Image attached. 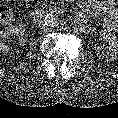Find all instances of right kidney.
<instances>
[{
  "instance_id": "right-kidney-1",
  "label": "right kidney",
  "mask_w": 118,
  "mask_h": 118,
  "mask_svg": "<svg viewBox=\"0 0 118 118\" xmlns=\"http://www.w3.org/2000/svg\"><path fill=\"white\" fill-rule=\"evenodd\" d=\"M25 27L23 25H11L0 31V51L8 53L10 47L6 44L7 40L13 36H19L21 39L25 34Z\"/></svg>"
}]
</instances>
